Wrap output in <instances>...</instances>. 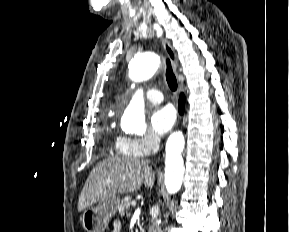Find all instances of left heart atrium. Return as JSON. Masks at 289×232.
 Returning a JSON list of instances; mask_svg holds the SVG:
<instances>
[{
	"instance_id": "39dd6f15",
	"label": "left heart atrium",
	"mask_w": 289,
	"mask_h": 232,
	"mask_svg": "<svg viewBox=\"0 0 289 232\" xmlns=\"http://www.w3.org/2000/svg\"><path fill=\"white\" fill-rule=\"evenodd\" d=\"M176 113L172 106L156 107L150 116V124L152 131L158 135H165L174 125Z\"/></svg>"
}]
</instances>
